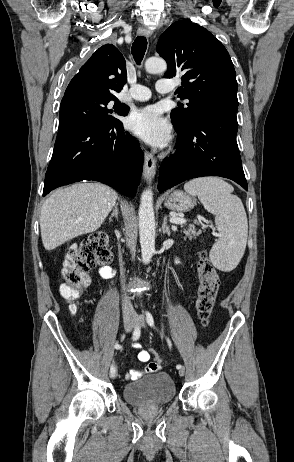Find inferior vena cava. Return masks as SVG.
<instances>
[{
	"mask_svg": "<svg viewBox=\"0 0 294 462\" xmlns=\"http://www.w3.org/2000/svg\"><path fill=\"white\" fill-rule=\"evenodd\" d=\"M125 284H124V281H123V288H124V295H123V299H122V311H123V314L126 315V314H131L134 312V308L131 304V301H130V298L127 296L126 292H125Z\"/></svg>",
	"mask_w": 294,
	"mask_h": 462,
	"instance_id": "602c4592",
	"label": "inferior vena cava"
}]
</instances>
